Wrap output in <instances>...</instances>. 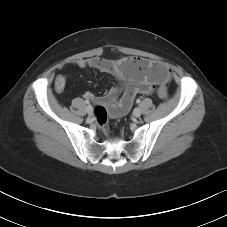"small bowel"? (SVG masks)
Instances as JSON below:
<instances>
[{
  "mask_svg": "<svg viewBox=\"0 0 227 227\" xmlns=\"http://www.w3.org/2000/svg\"><path fill=\"white\" fill-rule=\"evenodd\" d=\"M71 64L82 69H96L114 77L115 84L106 94L95 96L88 92L85 95L87 99L108 106L113 118L126 114L137 94H152L157 84L169 78V74L164 75L154 67V62L137 57H121L118 60L90 57L74 60ZM66 82V75H58L54 82L55 90L61 92Z\"/></svg>",
  "mask_w": 227,
  "mask_h": 227,
  "instance_id": "small-bowel-1",
  "label": "small bowel"
}]
</instances>
